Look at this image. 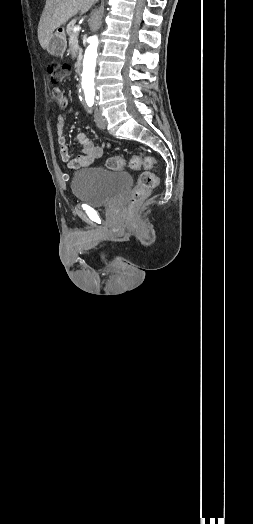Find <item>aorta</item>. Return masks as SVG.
Listing matches in <instances>:
<instances>
[{"instance_id": "1", "label": "aorta", "mask_w": 253, "mask_h": 524, "mask_svg": "<svg viewBox=\"0 0 253 524\" xmlns=\"http://www.w3.org/2000/svg\"><path fill=\"white\" fill-rule=\"evenodd\" d=\"M97 48H98V38L95 35L91 36L89 39V45L84 55L82 82H81V86L85 93L86 101H92L95 96L94 77H95V66H96V58H97Z\"/></svg>"}]
</instances>
